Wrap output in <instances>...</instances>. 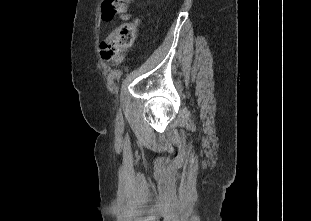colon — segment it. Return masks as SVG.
<instances>
[{"instance_id": "1", "label": "colon", "mask_w": 311, "mask_h": 221, "mask_svg": "<svg viewBox=\"0 0 311 221\" xmlns=\"http://www.w3.org/2000/svg\"><path fill=\"white\" fill-rule=\"evenodd\" d=\"M130 2L131 0H106L103 15L99 16V21L114 22V17H124L125 8L122 4H130ZM139 24V19L135 18L120 24L115 30L111 31L101 44V56L104 59L112 60L114 63L119 62L122 53L134 43Z\"/></svg>"}]
</instances>
